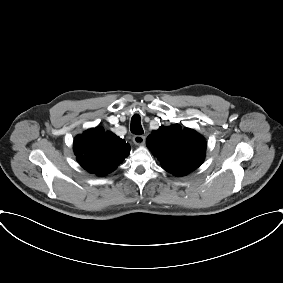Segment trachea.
I'll return each instance as SVG.
<instances>
[{"label":"trachea","instance_id":"trachea-1","mask_svg":"<svg viewBox=\"0 0 283 283\" xmlns=\"http://www.w3.org/2000/svg\"><path fill=\"white\" fill-rule=\"evenodd\" d=\"M131 132L136 134V135H140L143 134V128L141 126V122H140V116L135 114L132 119H131Z\"/></svg>","mask_w":283,"mask_h":283}]
</instances>
